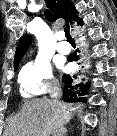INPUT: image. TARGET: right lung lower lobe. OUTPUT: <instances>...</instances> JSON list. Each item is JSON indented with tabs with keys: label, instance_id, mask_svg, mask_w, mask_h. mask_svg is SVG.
Segmentation results:
<instances>
[{
	"label": "right lung lower lobe",
	"instance_id": "1",
	"mask_svg": "<svg viewBox=\"0 0 117 136\" xmlns=\"http://www.w3.org/2000/svg\"><path fill=\"white\" fill-rule=\"evenodd\" d=\"M68 61H77V57L74 55L69 56ZM63 83H64V94L63 98L66 102H72V101H85L86 98H81L79 96L85 95L88 93V89L90 87L89 83L87 82L85 85L82 83L77 84L78 78L77 76H69V75H63L62 77ZM79 87V90L77 88Z\"/></svg>",
	"mask_w": 117,
	"mask_h": 136
}]
</instances>
